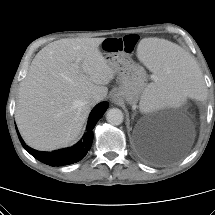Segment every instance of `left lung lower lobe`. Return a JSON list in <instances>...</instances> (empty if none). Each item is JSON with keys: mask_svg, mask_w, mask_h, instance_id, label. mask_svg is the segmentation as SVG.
I'll return each mask as SVG.
<instances>
[{"mask_svg": "<svg viewBox=\"0 0 215 215\" xmlns=\"http://www.w3.org/2000/svg\"><path fill=\"white\" fill-rule=\"evenodd\" d=\"M139 153L142 157H144L147 161L149 162H157L156 159H154L152 156H149L148 154H146L145 152H143L142 150H139Z\"/></svg>", "mask_w": 215, "mask_h": 215, "instance_id": "1", "label": "left lung lower lobe"}]
</instances>
